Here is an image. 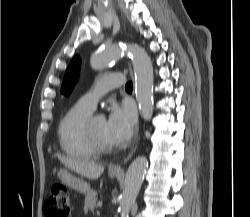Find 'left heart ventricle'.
I'll return each mask as SVG.
<instances>
[{
  "instance_id": "b2bd125f",
  "label": "left heart ventricle",
  "mask_w": 250,
  "mask_h": 217,
  "mask_svg": "<svg viewBox=\"0 0 250 217\" xmlns=\"http://www.w3.org/2000/svg\"><path fill=\"white\" fill-rule=\"evenodd\" d=\"M93 128L98 138L107 145H114L107 132L106 119L102 116H96L93 121Z\"/></svg>"
}]
</instances>
